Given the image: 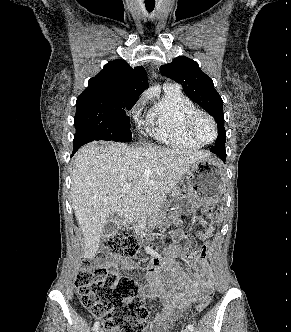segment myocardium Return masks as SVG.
Here are the masks:
<instances>
[{"mask_svg": "<svg viewBox=\"0 0 291 332\" xmlns=\"http://www.w3.org/2000/svg\"><path fill=\"white\" fill-rule=\"evenodd\" d=\"M199 117H205L212 124L213 129H214V137L212 140L204 141L196 134L195 124ZM185 129H186V132L188 133V135L194 141L198 142L201 145H207V144L213 143L217 139V136H218V127H217V123H216L215 119L213 118V116L211 114H209L208 112H206L204 110L195 109L194 111L189 113L185 120Z\"/></svg>", "mask_w": 291, "mask_h": 332, "instance_id": "f54148a6", "label": "myocardium"}]
</instances>
